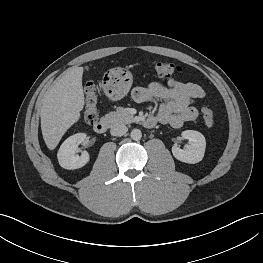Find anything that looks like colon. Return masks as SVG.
<instances>
[{
    "label": "colon",
    "mask_w": 263,
    "mask_h": 263,
    "mask_svg": "<svg viewBox=\"0 0 263 263\" xmlns=\"http://www.w3.org/2000/svg\"><path fill=\"white\" fill-rule=\"evenodd\" d=\"M154 70L159 77L169 78L175 75H178L181 72V68L176 64L169 61H159L154 64ZM85 93V109L83 113L84 121L87 124H94L98 120L97 112V99H96V84L92 80H88L84 85ZM202 115L205 124L208 127H214L216 120L212 112L207 108H202Z\"/></svg>",
    "instance_id": "1"
}]
</instances>
